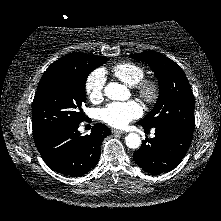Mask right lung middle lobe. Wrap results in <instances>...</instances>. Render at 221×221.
<instances>
[{"mask_svg":"<svg viewBox=\"0 0 221 221\" xmlns=\"http://www.w3.org/2000/svg\"><path fill=\"white\" fill-rule=\"evenodd\" d=\"M108 58L49 66L43 74L32 105L34 140L52 131L84 121L82 105L86 101L85 84L88 75Z\"/></svg>","mask_w":221,"mask_h":221,"instance_id":"obj_1","label":"right lung middle lobe"}]
</instances>
